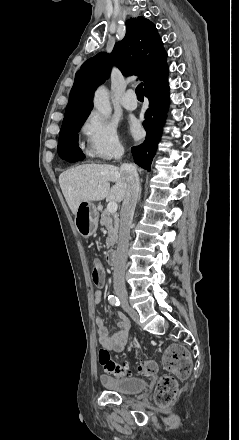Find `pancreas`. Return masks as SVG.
Returning <instances> with one entry per match:
<instances>
[{"mask_svg": "<svg viewBox=\"0 0 239 440\" xmlns=\"http://www.w3.org/2000/svg\"><path fill=\"white\" fill-rule=\"evenodd\" d=\"M100 226H105L108 230V238H106L107 248L114 246L118 240L119 218L117 214H110L108 210H103L101 214Z\"/></svg>", "mask_w": 239, "mask_h": 440, "instance_id": "pancreas-1", "label": "pancreas"}]
</instances>
